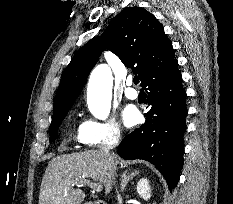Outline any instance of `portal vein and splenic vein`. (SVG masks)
I'll return each mask as SVG.
<instances>
[{
    "label": "portal vein and splenic vein",
    "mask_w": 233,
    "mask_h": 204,
    "mask_svg": "<svg viewBox=\"0 0 233 204\" xmlns=\"http://www.w3.org/2000/svg\"><path fill=\"white\" fill-rule=\"evenodd\" d=\"M83 185H89L94 191L101 192L103 189L102 184L100 183H92L89 180L81 179L79 182H76L73 184V186H83Z\"/></svg>",
    "instance_id": "portal-vein-and-splenic-vein-1"
}]
</instances>
